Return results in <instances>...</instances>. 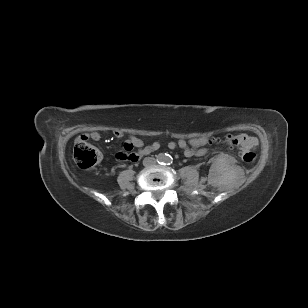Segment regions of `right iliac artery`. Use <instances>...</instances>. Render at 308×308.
Instances as JSON below:
<instances>
[{"mask_svg": "<svg viewBox=\"0 0 308 308\" xmlns=\"http://www.w3.org/2000/svg\"><path fill=\"white\" fill-rule=\"evenodd\" d=\"M159 159H160V160H162V159H163V157H162V156H160V157H159Z\"/></svg>", "mask_w": 308, "mask_h": 308, "instance_id": "1", "label": "right iliac artery"}]
</instances>
